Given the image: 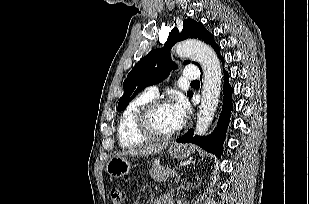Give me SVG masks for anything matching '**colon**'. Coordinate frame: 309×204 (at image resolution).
Here are the masks:
<instances>
[{"instance_id":"obj_1","label":"colon","mask_w":309,"mask_h":204,"mask_svg":"<svg viewBox=\"0 0 309 204\" xmlns=\"http://www.w3.org/2000/svg\"><path fill=\"white\" fill-rule=\"evenodd\" d=\"M111 199L113 204H122L124 199V192L120 188L111 189Z\"/></svg>"}]
</instances>
